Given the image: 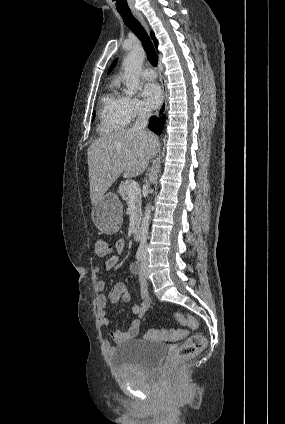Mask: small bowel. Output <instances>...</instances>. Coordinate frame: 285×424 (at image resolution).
<instances>
[{
    "mask_svg": "<svg viewBox=\"0 0 285 424\" xmlns=\"http://www.w3.org/2000/svg\"><path fill=\"white\" fill-rule=\"evenodd\" d=\"M125 248V241L123 239H119L115 243L116 253L110 256L105 262V268L107 270L113 269L120 260V256ZM131 272L138 276L141 301L132 307L133 313L137 315V319H135L127 331H122L119 329L113 330L111 332V340L103 339L101 347L102 351L106 356H110L114 350V345H120L130 339L137 337L140 333L141 329V320L144 317L150 306V297L148 294V282L140 273V265L138 263L131 264ZM94 272L96 275L101 273V267L95 266ZM106 285L103 280H97L96 282V291H97V306L100 313V325L101 327H107L110 324V319L106 315V308L110 304H117L119 300L122 298L125 302L130 301V294L122 283L115 284L110 291L105 293Z\"/></svg>",
    "mask_w": 285,
    "mask_h": 424,
    "instance_id": "1",
    "label": "small bowel"
}]
</instances>
